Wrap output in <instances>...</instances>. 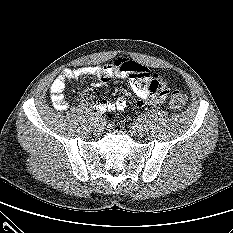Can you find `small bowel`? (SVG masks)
Here are the masks:
<instances>
[{
	"mask_svg": "<svg viewBox=\"0 0 233 233\" xmlns=\"http://www.w3.org/2000/svg\"><path fill=\"white\" fill-rule=\"evenodd\" d=\"M135 66H141L135 61L127 58H119L114 62L104 66L82 67L78 69H64L53 81L50 87L51 99L55 107L64 110L67 103L64 98V90L69 80H78L84 76H96L102 84H106L111 79H129L133 97L129 100L120 99L114 106L109 105L104 100L96 103V109L100 112L108 108L123 110L126 107H141L144 104H158L167 97V82L157 73L151 72V77L145 80L132 77ZM82 102L86 105L93 104V99L89 95L82 97Z\"/></svg>",
	"mask_w": 233,
	"mask_h": 233,
	"instance_id": "1",
	"label": "small bowel"
}]
</instances>
